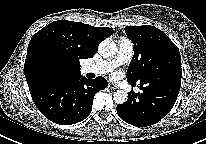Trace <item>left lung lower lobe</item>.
Returning a JSON list of instances; mask_svg holds the SVG:
<instances>
[{
	"instance_id": "0a47b994",
	"label": "left lung lower lobe",
	"mask_w": 206,
	"mask_h": 144,
	"mask_svg": "<svg viewBox=\"0 0 206 144\" xmlns=\"http://www.w3.org/2000/svg\"><path fill=\"white\" fill-rule=\"evenodd\" d=\"M140 89L141 93L132 90L128 101L117 106V113L122 120L139 127L153 125L166 116L174 106L180 90L176 86L147 88L141 83Z\"/></svg>"
}]
</instances>
